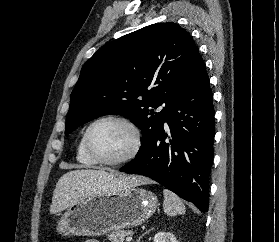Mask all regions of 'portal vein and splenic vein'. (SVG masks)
I'll use <instances>...</instances> for the list:
<instances>
[{"mask_svg": "<svg viewBox=\"0 0 279 242\" xmlns=\"http://www.w3.org/2000/svg\"><path fill=\"white\" fill-rule=\"evenodd\" d=\"M132 240V237H127L126 238V241H131Z\"/></svg>", "mask_w": 279, "mask_h": 242, "instance_id": "portal-vein-and-splenic-vein-1", "label": "portal vein and splenic vein"}]
</instances>
